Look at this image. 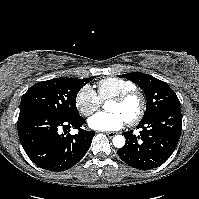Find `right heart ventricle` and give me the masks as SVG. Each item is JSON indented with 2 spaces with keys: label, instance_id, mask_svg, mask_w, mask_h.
<instances>
[{
  "label": "right heart ventricle",
  "instance_id": "e07e8e85",
  "mask_svg": "<svg viewBox=\"0 0 199 199\" xmlns=\"http://www.w3.org/2000/svg\"><path fill=\"white\" fill-rule=\"evenodd\" d=\"M136 85L126 79L110 77L97 84V95L100 101H107L128 90L135 89Z\"/></svg>",
  "mask_w": 199,
  "mask_h": 199
}]
</instances>
